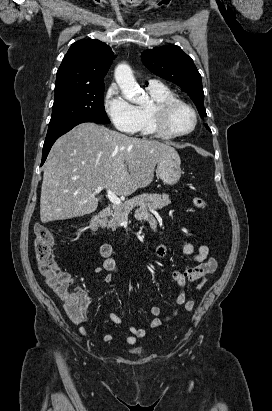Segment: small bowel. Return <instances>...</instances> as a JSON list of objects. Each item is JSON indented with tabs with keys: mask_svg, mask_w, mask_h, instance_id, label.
<instances>
[{
	"mask_svg": "<svg viewBox=\"0 0 272 411\" xmlns=\"http://www.w3.org/2000/svg\"><path fill=\"white\" fill-rule=\"evenodd\" d=\"M138 219L146 222L150 229L153 232H157V222L146 209H140L137 212ZM167 247L165 245H159L155 249V255L158 258H164L167 254ZM182 252L184 255L190 257L195 263V266L186 268L184 270H173L172 278L177 283L179 287V294L176 298L177 308L172 312L171 315L167 317L161 316V309L158 306H152L149 310L152 315V320L149 323L151 329L160 328L167 320L176 316L181 308H184L187 311L194 309V301L187 300L185 293V286L189 283L198 282L196 290H200L206 280L207 276L212 274L216 267L217 262L214 258L209 257V248L206 245H199L195 249L192 243L186 242L182 247ZM100 254L103 259L102 265L95 267L94 271L97 274L102 275V279L105 283H110L112 280L113 274L124 273V267H121L117 264L116 260L113 258V248L111 244L104 243L101 245ZM108 319L116 325H121L123 320L122 318L114 313L110 312L108 314ZM79 333L88 337L89 332L84 327L79 328ZM147 335V330L144 328L130 327L129 334L124 338L125 343L134 346L137 343V340L144 338ZM113 336L110 333H107L103 336L104 342H111Z\"/></svg>",
	"mask_w": 272,
	"mask_h": 411,
	"instance_id": "small-bowel-1",
	"label": "small bowel"
}]
</instances>
